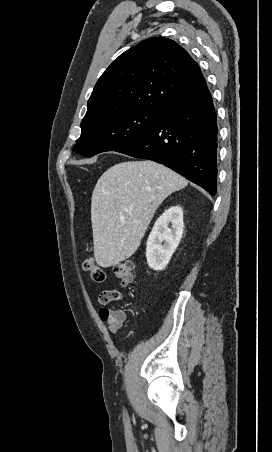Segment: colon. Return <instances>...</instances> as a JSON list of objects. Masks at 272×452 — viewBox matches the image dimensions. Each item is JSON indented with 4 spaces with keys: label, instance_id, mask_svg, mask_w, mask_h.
<instances>
[{
    "label": "colon",
    "instance_id": "1",
    "mask_svg": "<svg viewBox=\"0 0 272 452\" xmlns=\"http://www.w3.org/2000/svg\"><path fill=\"white\" fill-rule=\"evenodd\" d=\"M83 269L90 273L94 282L103 283L106 280L105 271L93 258H86L83 261ZM114 274L123 283H131L134 280V265L131 261H123L115 265Z\"/></svg>",
    "mask_w": 272,
    "mask_h": 452
}]
</instances>
